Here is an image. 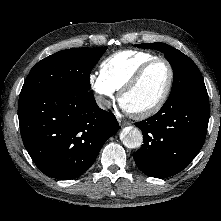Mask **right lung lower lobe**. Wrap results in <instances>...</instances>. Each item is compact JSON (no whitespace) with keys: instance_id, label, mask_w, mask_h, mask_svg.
I'll return each mask as SVG.
<instances>
[{"instance_id":"1","label":"right lung lower lobe","mask_w":221,"mask_h":221,"mask_svg":"<svg viewBox=\"0 0 221 221\" xmlns=\"http://www.w3.org/2000/svg\"><path fill=\"white\" fill-rule=\"evenodd\" d=\"M18 117L34 163L45 175L61 180L83 174L119 130L115 116L97 106L92 92L20 97Z\"/></svg>"}]
</instances>
